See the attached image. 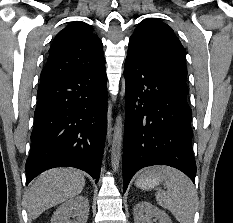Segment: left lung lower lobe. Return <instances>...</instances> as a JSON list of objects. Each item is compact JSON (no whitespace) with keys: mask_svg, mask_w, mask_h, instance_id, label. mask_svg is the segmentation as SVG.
Segmentation results:
<instances>
[{"mask_svg":"<svg viewBox=\"0 0 233 223\" xmlns=\"http://www.w3.org/2000/svg\"><path fill=\"white\" fill-rule=\"evenodd\" d=\"M126 118L123 150V190L141 168L168 165L195 183L192 151V110L186 81L173 77L128 49Z\"/></svg>","mask_w":233,"mask_h":223,"instance_id":"0a47b994","label":"left lung lower lobe"}]
</instances>
